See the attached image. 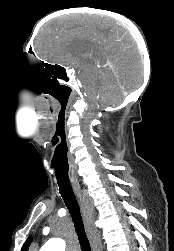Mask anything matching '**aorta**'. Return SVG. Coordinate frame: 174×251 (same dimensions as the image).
I'll use <instances>...</instances> for the list:
<instances>
[{
    "label": "aorta",
    "instance_id": "1",
    "mask_svg": "<svg viewBox=\"0 0 174 251\" xmlns=\"http://www.w3.org/2000/svg\"><path fill=\"white\" fill-rule=\"evenodd\" d=\"M64 250H65L64 242L58 239L49 240L40 249V251H64Z\"/></svg>",
    "mask_w": 174,
    "mask_h": 251
}]
</instances>
